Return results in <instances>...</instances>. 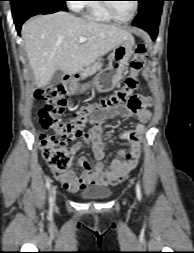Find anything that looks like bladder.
Listing matches in <instances>:
<instances>
[{"label":"bladder","instance_id":"obj_1","mask_svg":"<svg viewBox=\"0 0 194 253\" xmlns=\"http://www.w3.org/2000/svg\"><path fill=\"white\" fill-rule=\"evenodd\" d=\"M113 191L106 186H92L79 193V197L86 201H102L112 196Z\"/></svg>","mask_w":194,"mask_h":253}]
</instances>
